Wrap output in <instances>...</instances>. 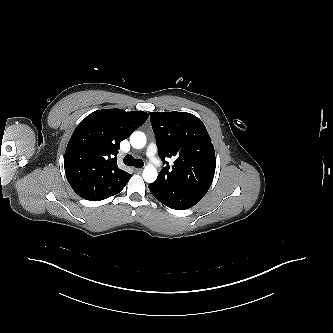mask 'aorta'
Listing matches in <instances>:
<instances>
[{
	"label": "aorta",
	"mask_w": 333,
	"mask_h": 333,
	"mask_svg": "<svg viewBox=\"0 0 333 333\" xmlns=\"http://www.w3.org/2000/svg\"><path fill=\"white\" fill-rule=\"evenodd\" d=\"M146 136L143 132L135 131L130 136V143L133 148L141 149L146 145ZM143 179L148 182L152 183L157 179L158 172L157 169L153 165H147L143 170Z\"/></svg>",
	"instance_id": "762f6f07"
}]
</instances>
